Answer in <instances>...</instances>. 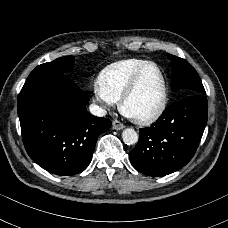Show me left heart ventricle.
<instances>
[{"label":"left heart ventricle","mask_w":228,"mask_h":228,"mask_svg":"<svg viewBox=\"0 0 228 228\" xmlns=\"http://www.w3.org/2000/svg\"><path fill=\"white\" fill-rule=\"evenodd\" d=\"M163 100V83L160 73L149 68L134 96L127 103L128 112L136 117H146L156 112Z\"/></svg>","instance_id":"1"}]
</instances>
